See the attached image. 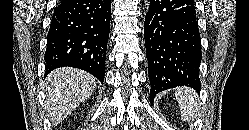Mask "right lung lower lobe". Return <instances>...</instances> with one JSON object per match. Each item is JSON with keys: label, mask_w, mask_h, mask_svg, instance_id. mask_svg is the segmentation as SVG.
Masks as SVG:
<instances>
[{"label": "right lung lower lobe", "mask_w": 249, "mask_h": 130, "mask_svg": "<svg viewBox=\"0 0 249 130\" xmlns=\"http://www.w3.org/2000/svg\"><path fill=\"white\" fill-rule=\"evenodd\" d=\"M110 18V0L62 1L53 13L47 36L46 74L68 66L103 82Z\"/></svg>", "instance_id": "1"}]
</instances>
